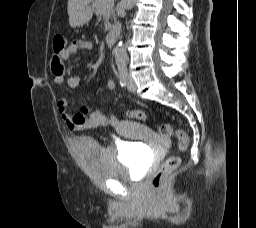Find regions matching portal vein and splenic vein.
<instances>
[{
    "mask_svg": "<svg viewBox=\"0 0 256 228\" xmlns=\"http://www.w3.org/2000/svg\"><path fill=\"white\" fill-rule=\"evenodd\" d=\"M106 2H111V1H114V0H105Z\"/></svg>",
    "mask_w": 256,
    "mask_h": 228,
    "instance_id": "18ae733b",
    "label": "portal vein and splenic vein"
}]
</instances>
